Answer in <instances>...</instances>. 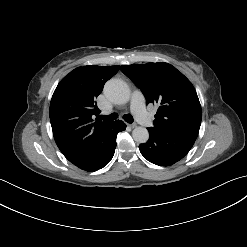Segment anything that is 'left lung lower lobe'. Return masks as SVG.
Masks as SVG:
<instances>
[{
	"mask_svg": "<svg viewBox=\"0 0 247 247\" xmlns=\"http://www.w3.org/2000/svg\"><path fill=\"white\" fill-rule=\"evenodd\" d=\"M149 140L139 145L145 159L161 166H170L181 160L192 148L195 140L159 133L148 128Z\"/></svg>",
	"mask_w": 247,
	"mask_h": 247,
	"instance_id": "1",
	"label": "left lung lower lobe"
}]
</instances>
